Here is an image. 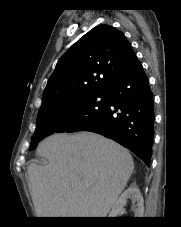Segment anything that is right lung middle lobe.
<instances>
[{
    "label": "right lung middle lobe",
    "instance_id": "obj_1",
    "mask_svg": "<svg viewBox=\"0 0 181 227\" xmlns=\"http://www.w3.org/2000/svg\"><path fill=\"white\" fill-rule=\"evenodd\" d=\"M108 104V91H101L39 110L29 150H34L42 139L51 134L82 130L102 114Z\"/></svg>",
    "mask_w": 181,
    "mask_h": 227
}]
</instances>
